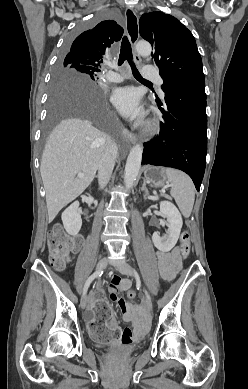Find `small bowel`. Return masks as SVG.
<instances>
[{
    "mask_svg": "<svg viewBox=\"0 0 248 389\" xmlns=\"http://www.w3.org/2000/svg\"><path fill=\"white\" fill-rule=\"evenodd\" d=\"M158 269L161 277L167 281L175 278L181 268L180 251L175 247L171 251H158L156 253ZM111 285H108L110 301L115 303L122 311L123 320L130 323L132 328H126L122 331L120 341L123 344H131L138 342L148 333L149 325L146 319V306L144 304H136L126 302L121 296L122 292L131 288L132 282L129 279H122L118 272H112L110 277ZM86 317L89 321L94 318L93 307L90 306ZM109 326L116 327L114 320H111Z\"/></svg>",
    "mask_w": 248,
    "mask_h": 389,
    "instance_id": "c3829d8e",
    "label": "small bowel"
}]
</instances>
